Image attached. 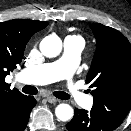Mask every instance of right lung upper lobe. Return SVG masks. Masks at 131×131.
Returning a JSON list of instances; mask_svg holds the SVG:
<instances>
[{
	"label": "right lung upper lobe",
	"mask_w": 131,
	"mask_h": 131,
	"mask_svg": "<svg viewBox=\"0 0 131 131\" xmlns=\"http://www.w3.org/2000/svg\"><path fill=\"white\" fill-rule=\"evenodd\" d=\"M48 25L47 22L15 19L0 23V131L14 117L18 105L26 97L5 82L7 74L20 64L30 37Z\"/></svg>",
	"instance_id": "1"
}]
</instances>
